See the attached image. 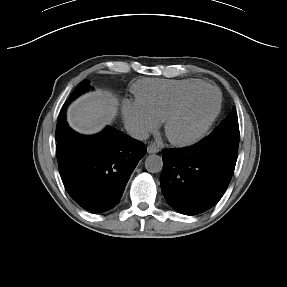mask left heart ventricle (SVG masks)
Listing matches in <instances>:
<instances>
[{"instance_id": "1", "label": "left heart ventricle", "mask_w": 287, "mask_h": 287, "mask_svg": "<svg viewBox=\"0 0 287 287\" xmlns=\"http://www.w3.org/2000/svg\"><path fill=\"white\" fill-rule=\"evenodd\" d=\"M215 103L216 96L211 90H202L194 94L173 122L171 135L175 138H185L196 133L212 113Z\"/></svg>"}]
</instances>
